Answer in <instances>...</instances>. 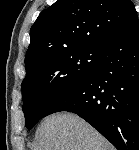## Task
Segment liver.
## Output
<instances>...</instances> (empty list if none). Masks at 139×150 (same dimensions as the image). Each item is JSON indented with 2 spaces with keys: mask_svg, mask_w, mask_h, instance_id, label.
Masks as SVG:
<instances>
[{
  "mask_svg": "<svg viewBox=\"0 0 139 150\" xmlns=\"http://www.w3.org/2000/svg\"><path fill=\"white\" fill-rule=\"evenodd\" d=\"M35 150H113L92 126L71 113L47 117L37 130Z\"/></svg>",
  "mask_w": 139,
  "mask_h": 150,
  "instance_id": "1",
  "label": "liver"
}]
</instances>
